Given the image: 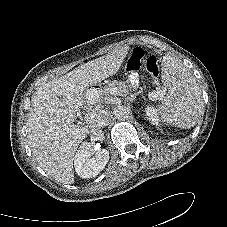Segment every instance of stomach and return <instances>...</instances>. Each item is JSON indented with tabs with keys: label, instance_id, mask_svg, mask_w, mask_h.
<instances>
[{
	"label": "stomach",
	"instance_id": "1",
	"mask_svg": "<svg viewBox=\"0 0 227 227\" xmlns=\"http://www.w3.org/2000/svg\"><path fill=\"white\" fill-rule=\"evenodd\" d=\"M113 81L111 78L106 77L100 80H96L87 84L86 89L90 93H94L96 91H101L103 89L111 87Z\"/></svg>",
	"mask_w": 227,
	"mask_h": 227
}]
</instances>
